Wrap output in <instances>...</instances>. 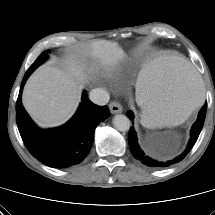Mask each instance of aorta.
Returning <instances> with one entry per match:
<instances>
[{
  "label": "aorta",
  "instance_id": "762f6f07",
  "mask_svg": "<svg viewBox=\"0 0 215 215\" xmlns=\"http://www.w3.org/2000/svg\"><path fill=\"white\" fill-rule=\"evenodd\" d=\"M114 127L121 132H126L130 129V120L123 114H118L113 118Z\"/></svg>",
  "mask_w": 215,
  "mask_h": 215
}]
</instances>
